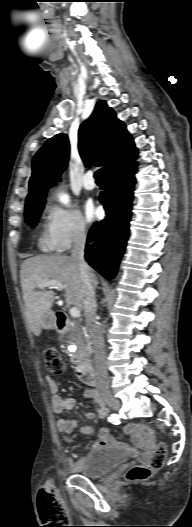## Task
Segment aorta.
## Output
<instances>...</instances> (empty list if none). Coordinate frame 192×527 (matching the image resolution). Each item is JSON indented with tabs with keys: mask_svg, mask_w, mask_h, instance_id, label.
Returning a JSON list of instances; mask_svg holds the SVG:
<instances>
[{
	"mask_svg": "<svg viewBox=\"0 0 192 527\" xmlns=\"http://www.w3.org/2000/svg\"><path fill=\"white\" fill-rule=\"evenodd\" d=\"M60 201L64 204H68L69 203V196L66 195V194H63L60 196Z\"/></svg>",
	"mask_w": 192,
	"mask_h": 527,
	"instance_id": "aorta-1",
	"label": "aorta"
}]
</instances>
